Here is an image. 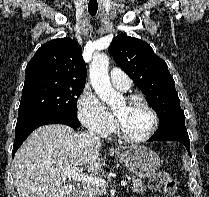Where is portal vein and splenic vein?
<instances>
[{
  "label": "portal vein and splenic vein",
  "instance_id": "1",
  "mask_svg": "<svg viewBox=\"0 0 209 197\" xmlns=\"http://www.w3.org/2000/svg\"><path fill=\"white\" fill-rule=\"evenodd\" d=\"M62 172L66 175V177L72 178L75 181L87 183L88 185H96L100 187H104L106 185V181L103 178L92 177L80 173L79 167L62 169ZM121 185L126 186L127 182L123 180L121 181Z\"/></svg>",
  "mask_w": 209,
  "mask_h": 197
}]
</instances>
